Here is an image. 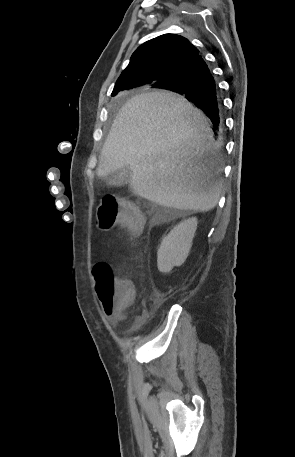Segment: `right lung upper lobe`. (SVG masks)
Returning <instances> with one entry per match:
<instances>
[{
    "instance_id": "obj_1",
    "label": "right lung upper lobe",
    "mask_w": 295,
    "mask_h": 457,
    "mask_svg": "<svg viewBox=\"0 0 295 457\" xmlns=\"http://www.w3.org/2000/svg\"><path fill=\"white\" fill-rule=\"evenodd\" d=\"M198 56L199 50L188 39L175 34L158 36L136 49L113 92L117 94L137 84L155 87L175 80L182 68Z\"/></svg>"
}]
</instances>
